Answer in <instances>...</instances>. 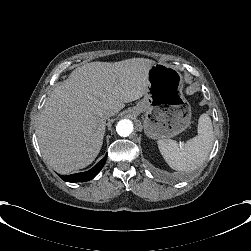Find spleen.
I'll return each mask as SVG.
<instances>
[{"label": "spleen", "mask_w": 251, "mask_h": 251, "mask_svg": "<svg viewBox=\"0 0 251 251\" xmlns=\"http://www.w3.org/2000/svg\"><path fill=\"white\" fill-rule=\"evenodd\" d=\"M213 125L208 114L203 113L198 120V134L189 139L181 148L175 140H158V148L167 164L177 171H193L203 165L212 149Z\"/></svg>", "instance_id": "1"}]
</instances>
